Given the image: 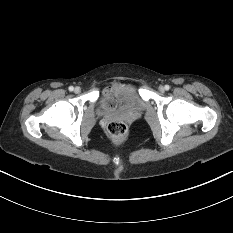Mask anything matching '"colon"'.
Masks as SVG:
<instances>
[{"instance_id":"5ec220e1","label":"colon","mask_w":233,"mask_h":233,"mask_svg":"<svg viewBox=\"0 0 233 233\" xmlns=\"http://www.w3.org/2000/svg\"><path fill=\"white\" fill-rule=\"evenodd\" d=\"M107 131L113 139L121 140L126 137L128 129L123 121L116 120L109 123Z\"/></svg>"}]
</instances>
